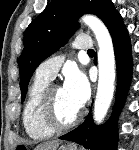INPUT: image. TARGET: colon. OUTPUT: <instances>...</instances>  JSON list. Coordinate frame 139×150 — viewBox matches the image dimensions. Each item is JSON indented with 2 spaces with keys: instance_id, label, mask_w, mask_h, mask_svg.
<instances>
[{
  "instance_id": "5ec220e1",
  "label": "colon",
  "mask_w": 139,
  "mask_h": 150,
  "mask_svg": "<svg viewBox=\"0 0 139 150\" xmlns=\"http://www.w3.org/2000/svg\"><path fill=\"white\" fill-rule=\"evenodd\" d=\"M17 150H25V149H23V148H18Z\"/></svg>"
}]
</instances>
